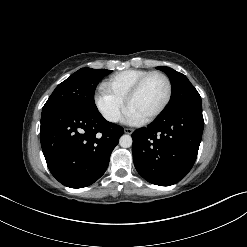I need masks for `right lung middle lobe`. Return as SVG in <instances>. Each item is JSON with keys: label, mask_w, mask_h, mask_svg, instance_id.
<instances>
[{"label": "right lung middle lobe", "mask_w": 247, "mask_h": 247, "mask_svg": "<svg viewBox=\"0 0 247 247\" xmlns=\"http://www.w3.org/2000/svg\"><path fill=\"white\" fill-rule=\"evenodd\" d=\"M112 70L82 68L60 83L43 109L53 106H71L86 111H98L94 92L99 81Z\"/></svg>", "instance_id": "right-lung-middle-lobe-1"}]
</instances>
